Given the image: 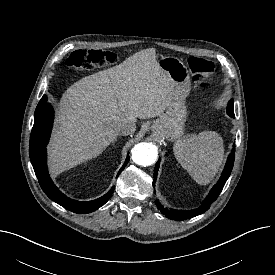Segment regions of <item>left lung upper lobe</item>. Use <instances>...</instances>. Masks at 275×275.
Masks as SVG:
<instances>
[{"instance_id": "1", "label": "left lung upper lobe", "mask_w": 275, "mask_h": 275, "mask_svg": "<svg viewBox=\"0 0 275 275\" xmlns=\"http://www.w3.org/2000/svg\"><path fill=\"white\" fill-rule=\"evenodd\" d=\"M227 113L229 116L234 117V101H233V99H231L228 102Z\"/></svg>"}]
</instances>
